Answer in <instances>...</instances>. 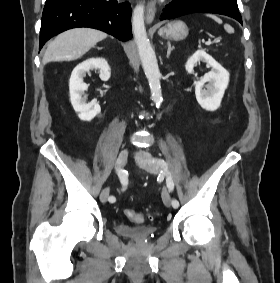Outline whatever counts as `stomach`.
<instances>
[{"mask_svg":"<svg viewBox=\"0 0 280 283\" xmlns=\"http://www.w3.org/2000/svg\"><path fill=\"white\" fill-rule=\"evenodd\" d=\"M188 32L189 29L183 21L175 20L160 28L158 34L168 40L180 41L188 36Z\"/></svg>","mask_w":280,"mask_h":283,"instance_id":"1","label":"stomach"}]
</instances>
